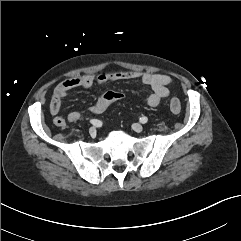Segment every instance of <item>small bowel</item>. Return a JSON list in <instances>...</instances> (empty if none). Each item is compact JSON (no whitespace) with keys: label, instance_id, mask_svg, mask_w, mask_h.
<instances>
[{"label":"small bowel","instance_id":"small-bowel-1","mask_svg":"<svg viewBox=\"0 0 241 241\" xmlns=\"http://www.w3.org/2000/svg\"><path fill=\"white\" fill-rule=\"evenodd\" d=\"M134 79H140L144 85H147L152 89V93L147 97V104L150 107H157L169 96V86L172 83V79L170 76L165 74L142 72L139 70L102 73L99 75L83 74L68 78L55 87L49 107L50 113L54 116V124L58 127H64L67 122L75 123L80 120L81 114L76 111L70 112L67 116V120L59 115L62 106V99L72 89H89L94 84L103 86L109 82ZM112 102L113 101L105 100L101 96L90 107V112L95 115L102 114Z\"/></svg>","mask_w":241,"mask_h":241}]
</instances>
